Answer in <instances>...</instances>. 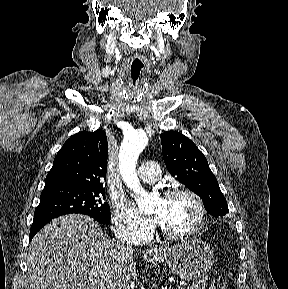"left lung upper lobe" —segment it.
Listing matches in <instances>:
<instances>
[{"instance_id":"1","label":"left lung upper lobe","mask_w":288,"mask_h":289,"mask_svg":"<svg viewBox=\"0 0 288 289\" xmlns=\"http://www.w3.org/2000/svg\"><path fill=\"white\" fill-rule=\"evenodd\" d=\"M161 143L170 174L202 198L209 214L214 217L227 214L229 209L218 181L196 145L178 132L162 133Z\"/></svg>"}]
</instances>
